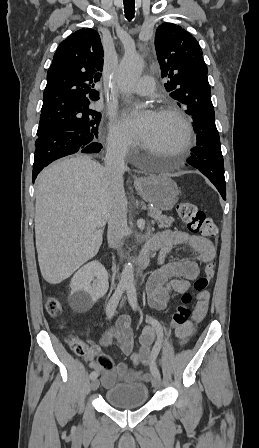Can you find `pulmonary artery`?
I'll return each mask as SVG.
<instances>
[{"instance_id":"1","label":"pulmonary artery","mask_w":259,"mask_h":448,"mask_svg":"<svg viewBox=\"0 0 259 448\" xmlns=\"http://www.w3.org/2000/svg\"><path fill=\"white\" fill-rule=\"evenodd\" d=\"M120 67L126 74L134 75V79L137 82H144L149 80H154L151 76H141L139 74L140 65L134 62L129 55L124 57L120 63ZM126 90L130 93L147 95L153 91L152 87L149 86H128Z\"/></svg>"}]
</instances>
